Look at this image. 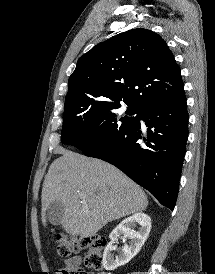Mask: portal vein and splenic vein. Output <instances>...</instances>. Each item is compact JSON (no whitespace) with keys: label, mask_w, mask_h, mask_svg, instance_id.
<instances>
[{"label":"portal vein and splenic vein","mask_w":215,"mask_h":274,"mask_svg":"<svg viewBox=\"0 0 215 274\" xmlns=\"http://www.w3.org/2000/svg\"><path fill=\"white\" fill-rule=\"evenodd\" d=\"M80 197H81L82 199H84V195H80Z\"/></svg>","instance_id":"obj_1"}]
</instances>
